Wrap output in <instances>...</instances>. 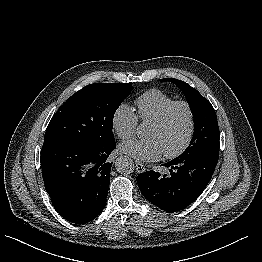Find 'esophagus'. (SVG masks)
<instances>
[{
	"label": "esophagus",
	"mask_w": 262,
	"mask_h": 262,
	"mask_svg": "<svg viewBox=\"0 0 262 262\" xmlns=\"http://www.w3.org/2000/svg\"><path fill=\"white\" fill-rule=\"evenodd\" d=\"M135 165L138 173H143L146 171V167L141 162L136 161Z\"/></svg>",
	"instance_id": "1"
}]
</instances>
